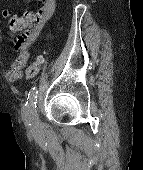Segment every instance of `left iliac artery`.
<instances>
[{
	"mask_svg": "<svg viewBox=\"0 0 143 170\" xmlns=\"http://www.w3.org/2000/svg\"><path fill=\"white\" fill-rule=\"evenodd\" d=\"M37 97H38V89L36 87H33L27 97V102H26V112L28 115H37L36 111V103H37Z\"/></svg>",
	"mask_w": 143,
	"mask_h": 170,
	"instance_id": "44dca946",
	"label": "left iliac artery"
}]
</instances>
